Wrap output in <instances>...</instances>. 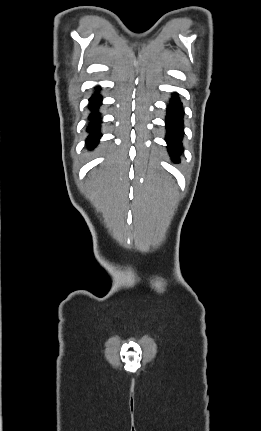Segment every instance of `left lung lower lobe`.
<instances>
[{
    "label": "left lung lower lobe",
    "instance_id": "left-lung-lower-lobe-1",
    "mask_svg": "<svg viewBox=\"0 0 261 431\" xmlns=\"http://www.w3.org/2000/svg\"><path fill=\"white\" fill-rule=\"evenodd\" d=\"M183 109L182 103L177 97V94H173L170 105L167 109L166 116V142L170 156L174 162L180 161V155L182 154L183 147L181 140L183 138Z\"/></svg>",
    "mask_w": 261,
    "mask_h": 431
}]
</instances>
